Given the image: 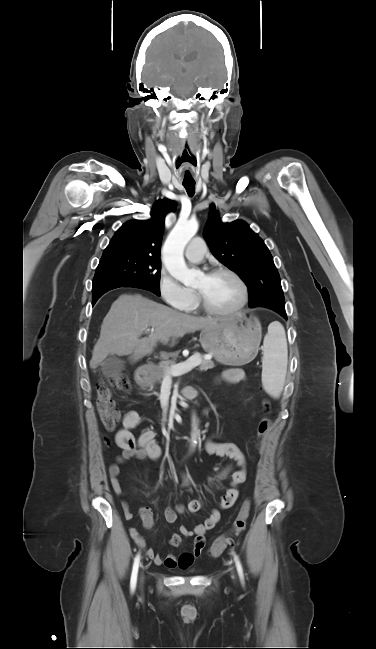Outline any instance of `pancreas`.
<instances>
[{"label": "pancreas", "mask_w": 376, "mask_h": 649, "mask_svg": "<svg viewBox=\"0 0 376 649\" xmlns=\"http://www.w3.org/2000/svg\"><path fill=\"white\" fill-rule=\"evenodd\" d=\"M174 365H177L176 362L170 360V361L161 362L160 364L153 366L149 378V383L150 384L161 383L165 378L168 370ZM214 366L215 365L211 360H201V363L199 365V370L206 371L208 369H212Z\"/></svg>", "instance_id": "1"}]
</instances>
